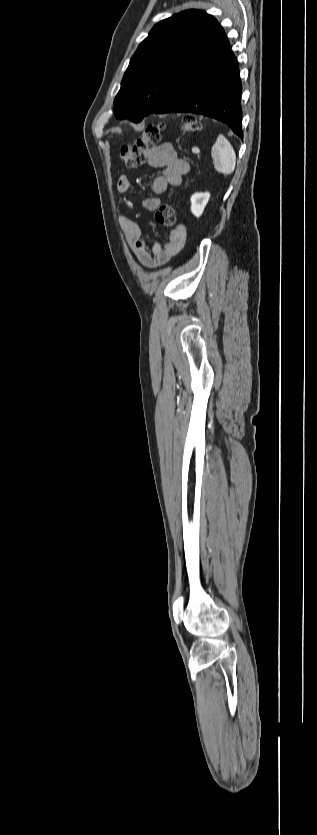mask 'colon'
Masks as SVG:
<instances>
[{"label": "colon", "mask_w": 317, "mask_h": 835, "mask_svg": "<svg viewBox=\"0 0 317 835\" xmlns=\"http://www.w3.org/2000/svg\"><path fill=\"white\" fill-rule=\"evenodd\" d=\"M163 128L162 124L148 125L133 145H124L120 155L125 165L130 168L143 165L150 146L161 140ZM181 129L185 134H194L200 131L201 125L194 116L188 115L183 118ZM155 220L162 228H172L176 223L172 203L165 202L160 205L155 214Z\"/></svg>", "instance_id": "obj_1"}]
</instances>
